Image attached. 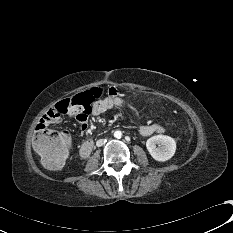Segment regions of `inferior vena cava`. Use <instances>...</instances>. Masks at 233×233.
Returning <instances> with one entry per match:
<instances>
[{"mask_svg": "<svg viewBox=\"0 0 233 233\" xmlns=\"http://www.w3.org/2000/svg\"><path fill=\"white\" fill-rule=\"evenodd\" d=\"M103 144H105V140H104V139H100V140H98V141L96 142V145H97L98 147L102 146Z\"/></svg>", "mask_w": 233, "mask_h": 233, "instance_id": "obj_1", "label": "inferior vena cava"}]
</instances>
